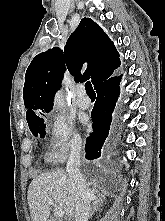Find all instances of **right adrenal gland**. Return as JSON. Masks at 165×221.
I'll return each instance as SVG.
<instances>
[{
    "instance_id": "right-adrenal-gland-1",
    "label": "right adrenal gland",
    "mask_w": 165,
    "mask_h": 221,
    "mask_svg": "<svg viewBox=\"0 0 165 221\" xmlns=\"http://www.w3.org/2000/svg\"><path fill=\"white\" fill-rule=\"evenodd\" d=\"M105 201L104 196H97L93 201V207L90 212L89 218H91L97 210H101Z\"/></svg>"
}]
</instances>
